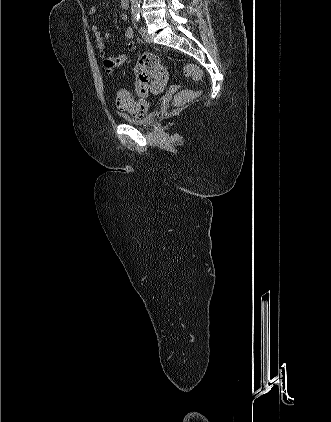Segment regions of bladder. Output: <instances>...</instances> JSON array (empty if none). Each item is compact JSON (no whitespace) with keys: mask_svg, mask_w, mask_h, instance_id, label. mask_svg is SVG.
Returning a JSON list of instances; mask_svg holds the SVG:
<instances>
[{"mask_svg":"<svg viewBox=\"0 0 331 422\" xmlns=\"http://www.w3.org/2000/svg\"><path fill=\"white\" fill-rule=\"evenodd\" d=\"M156 112H149L143 116L135 117L128 114H120V118L127 124L134 126L150 127L156 120Z\"/></svg>","mask_w":331,"mask_h":422,"instance_id":"obj_1","label":"bladder"}]
</instances>
